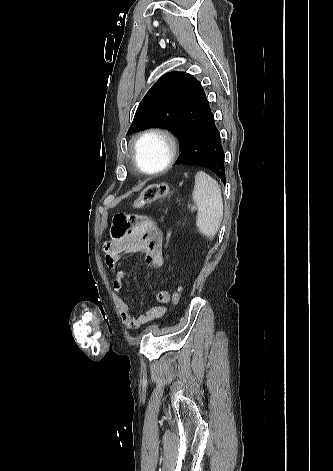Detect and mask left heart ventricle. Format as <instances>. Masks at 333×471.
I'll list each match as a JSON object with an SVG mask.
<instances>
[{
  "mask_svg": "<svg viewBox=\"0 0 333 471\" xmlns=\"http://www.w3.org/2000/svg\"><path fill=\"white\" fill-rule=\"evenodd\" d=\"M167 156V146L159 137H148L141 141L137 157L142 167L153 170L160 167Z\"/></svg>",
  "mask_w": 333,
  "mask_h": 471,
  "instance_id": "b2bd125f",
  "label": "left heart ventricle"
}]
</instances>
